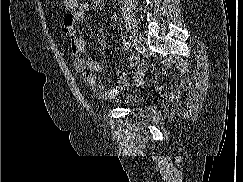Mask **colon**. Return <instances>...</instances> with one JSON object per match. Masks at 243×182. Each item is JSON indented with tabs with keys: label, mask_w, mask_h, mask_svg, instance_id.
I'll list each match as a JSON object with an SVG mask.
<instances>
[{
	"label": "colon",
	"mask_w": 243,
	"mask_h": 182,
	"mask_svg": "<svg viewBox=\"0 0 243 182\" xmlns=\"http://www.w3.org/2000/svg\"><path fill=\"white\" fill-rule=\"evenodd\" d=\"M78 8V0H64L63 9L68 14H73Z\"/></svg>",
	"instance_id": "obj_1"
}]
</instances>
